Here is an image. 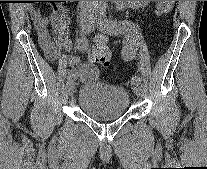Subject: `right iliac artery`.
<instances>
[{
  "mask_svg": "<svg viewBox=\"0 0 207 169\" xmlns=\"http://www.w3.org/2000/svg\"><path fill=\"white\" fill-rule=\"evenodd\" d=\"M89 31H91V30L90 29L85 30L84 34H82L80 36V38L78 39V41H77L78 47L80 48L81 51H85L88 47L87 34H88ZM67 77H68V80H73V79L76 78V74L74 72H69Z\"/></svg>",
  "mask_w": 207,
  "mask_h": 169,
  "instance_id": "right-iliac-artery-1",
  "label": "right iliac artery"
}]
</instances>
